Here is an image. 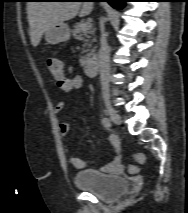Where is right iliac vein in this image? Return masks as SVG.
<instances>
[{
	"label": "right iliac vein",
	"instance_id": "obj_1",
	"mask_svg": "<svg viewBox=\"0 0 188 213\" xmlns=\"http://www.w3.org/2000/svg\"><path fill=\"white\" fill-rule=\"evenodd\" d=\"M107 113L110 116L111 120L115 123L120 125L122 123L121 117L119 114L109 105H107Z\"/></svg>",
	"mask_w": 188,
	"mask_h": 213
}]
</instances>
